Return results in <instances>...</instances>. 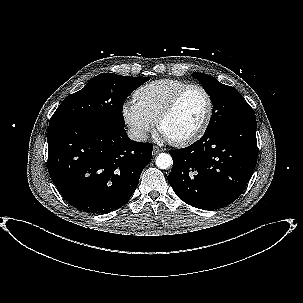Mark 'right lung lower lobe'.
Wrapping results in <instances>:
<instances>
[{
	"label": "right lung lower lobe",
	"instance_id": "obj_1",
	"mask_svg": "<svg viewBox=\"0 0 303 303\" xmlns=\"http://www.w3.org/2000/svg\"><path fill=\"white\" fill-rule=\"evenodd\" d=\"M48 171L62 197L77 209L104 214L135 191L153 145L128 138L125 129L67 122L47 129Z\"/></svg>",
	"mask_w": 303,
	"mask_h": 303
}]
</instances>
